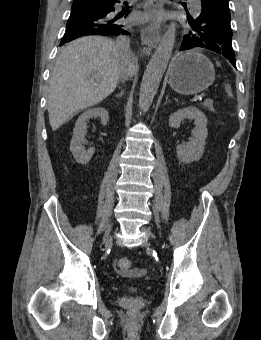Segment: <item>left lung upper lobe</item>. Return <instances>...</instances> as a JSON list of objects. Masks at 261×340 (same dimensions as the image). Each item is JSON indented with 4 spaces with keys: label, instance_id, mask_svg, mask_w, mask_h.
<instances>
[{
    "label": "left lung upper lobe",
    "instance_id": "1",
    "mask_svg": "<svg viewBox=\"0 0 261 340\" xmlns=\"http://www.w3.org/2000/svg\"><path fill=\"white\" fill-rule=\"evenodd\" d=\"M191 26L193 29L187 35L197 36L201 47L222 55L226 50L232 49L230 19L225 20L221 17H216L212 21L201 24L194 21Z\"/></svg>",
    "mask_w": 261,
    "mask_h": 340
}]
</instances>
